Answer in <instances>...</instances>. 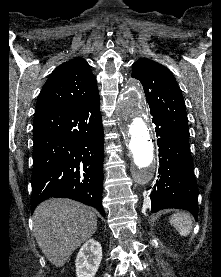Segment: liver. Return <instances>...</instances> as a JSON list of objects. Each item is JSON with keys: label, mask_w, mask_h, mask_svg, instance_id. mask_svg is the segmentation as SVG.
I'll return each instance as SVG.
<instances>
[{"label": "liver", "mask_w": 221, "mask_h": 277, "mask_svg": "<svg viewBox=\"0 0 221 277\" xmlns=\"http://www.w3.org/2000/svg\"><path fill=\"white\" fill-rule=\"evenodd\" d=\"M33 220V232L38 246L56 267L63 266L97 229V217L93 208L63 198H52L40 203Z\"/></svg>", "instance_id": "liver-1"}]
</instances>
